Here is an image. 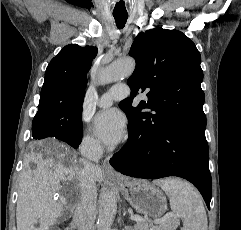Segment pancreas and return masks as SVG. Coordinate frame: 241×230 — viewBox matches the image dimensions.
Listing matches in <instances>:
<instances>
[{"mask_svg": "<svg viewBox=\"0 0 241 230\" xmlns=\"http://www.w3.org/2000/svg\"><path fill=\"white\" fill-rule=\"evenodd\" d=\"M179 222L175 219H170L163 224L151 226L146 222H137L134 226V230H175L178 227Z\"/></svg>", "mask_w": 241, "mask_h": 230, "instance_id": "1", "label": "pancreas"}]
</instances>
